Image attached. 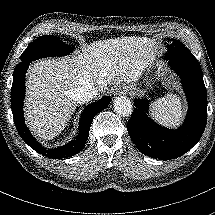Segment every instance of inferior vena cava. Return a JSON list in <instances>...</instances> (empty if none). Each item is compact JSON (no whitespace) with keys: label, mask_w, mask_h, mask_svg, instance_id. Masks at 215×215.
<instances>
[{"label":"inferior vena cava","mask_w":215,"mask_h":215,"mask_svg":"<svg viewBox=\"0 0 215 215\" xmlns=\"http://www.w3.org/2000/svg\"><path fill=\"white\" fill-rule=\"evenodd\" d=\"M98 95L99 92L94 87L89 85L81 86L74 92V100L77 103L83 104L85 102L92 100Z\"/></svg>","instance_id":"obj_1"}]
</instances>
